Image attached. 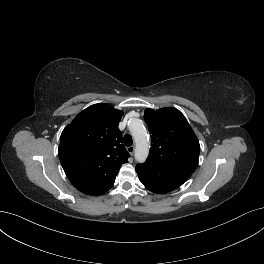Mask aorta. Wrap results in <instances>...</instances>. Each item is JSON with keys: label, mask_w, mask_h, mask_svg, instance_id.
<instances>
[{"label": "aorta", "mask_w": 264, "mask_h": 264, "mask_svg": "<svg viewBox=\"0 0 264 264\" xmlns=\"http://www.w3.org/2000/svg\"><path fill=\"white\" fill-rule=\"evenodd\" d=\"M130 131L136 143L135 159L143 163L149 154V136L144 124L139 119H133L129 124Z\"/></svg>", "instance_id": "762f6f07"}]
</instances>
